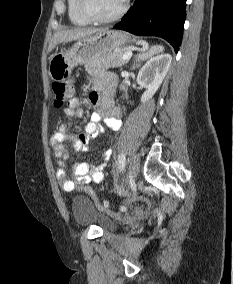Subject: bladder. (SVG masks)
I'll use <instances>...</instances> for the list:
<instances>
[{"label":"bladder","mask_w":233,"mask_h":284,"mask_svg":"<svg viewBox=\"0 0 233 284\" xmlns=\"http://www.w3.org/2000/svg\"><path fill=\"white\" fill-rule=\"evenodd\" d=\"M71 213L75 222L80 226L96 225L104 232L116 229V223L109 217L101 214L93 201L85 195L73 197Z\"/></svg>","instance_id":"obj_1"}]
</instances>
